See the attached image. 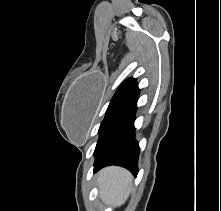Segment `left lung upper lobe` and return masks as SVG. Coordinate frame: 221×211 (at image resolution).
<instances>
[{
    "label": "left lung upper lobe",
    "mask_w": 221,
    "mask_h": 211,
    "mask_svg": "<svg viewBox=\"0 0 221 211\" xmlns=\"http://www.w3.org/2000/svg\"><path fill=\"white\" fill-rule=\"evenodd\" d=\"M139 91L140 90L137 86L136 79L134 78H130L121 84V86L117 89L116 93L114 94L108 106L106 115L98 131L99 135L102 134V132L110 123V121L118 113H120L126 106H128L131 102H133L138 97Z\"/></svg>",
    "instance_id": "1"
}]
</instances>
